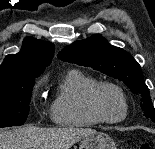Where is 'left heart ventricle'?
I'll return each instance as SVG.
<instances>
[{
	"mask_svg": "<svg viewBox=\"0 0 155 149\" xmlns=\"http://www.w3.org/2000/svg\"><path fill=\"white\" fill-rule=\"evenodd\" d=\"M97 104L101 113L108 119H117L124 112L120 95L112 88H102L97 95Z\"/></svg>",
	"mask_w": 155,
	"mask_h": 149,
	"instance_id": "b2bd125f",
	"label": "left heart ventricle"
}]
</instances>
